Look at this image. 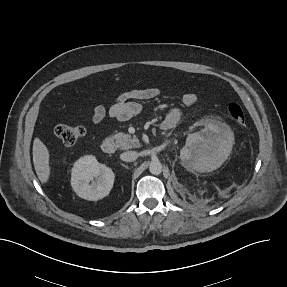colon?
Wrapping results in <instances>:
<instances>
[{"mask_svg": "<svg viewBox=\"0 0 287 287\" xmlns=\"http://www.w3.org/2000/svg\"><path fill=\"white\" fill-rule=\"evenodd\" d=\"M230 118L239 125L245 124L243 108L238 103L228 105ZM54 135L65 145H73L85 135V128L81 125L60 124L54 127Z\"/></svg>", "mask_w": 287, "mask_h": 287, "instance_id": "1", "label": "colon"}]
</instances>
